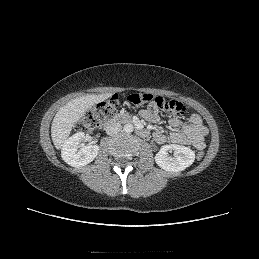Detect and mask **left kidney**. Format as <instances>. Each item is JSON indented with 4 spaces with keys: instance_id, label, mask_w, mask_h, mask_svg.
<instances>
[{
    "instance_id": "5707ae66",
    "label": "left kidney",
    "mask_w": 259,
    "mask_h": 259,
    "mask_svg": "<svg viewBox=\"0 0 259 259\" xmlns=\"http://www.w3.org/2000/svg\"><path fill=\"white\" fill-rule=\"evenodd\" d=\"M172 150L175 152L174 157L168 156V151ZM194 160V151L188 147L177 144L162 146L155 156L156 164L160 168L170 172L183 171L187 167L191 166Z\"/></svg>"
}]
</instances>
